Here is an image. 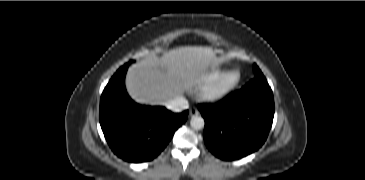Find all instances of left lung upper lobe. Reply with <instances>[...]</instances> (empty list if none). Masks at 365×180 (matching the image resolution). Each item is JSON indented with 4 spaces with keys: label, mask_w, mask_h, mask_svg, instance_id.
Returning <instances> with one entry per match:
<instances>
[{
    "label": "left lung upper lobe",
    "mask_w": 365,
    "mask_h": 180,
    "mask_svg": "<svg viewBox=\"0 0 365 180\" xmlns=\"http://www.w3.org/2000/svg\"><path fill=\"white\" fill-rule=\"evenodd\" d=\"M253 69H254L255 77L256 76H263L261 70L258 68V66L256 64L253 65Z\"/></svg>",
    "instance_id": "1"
}]
</instances>
